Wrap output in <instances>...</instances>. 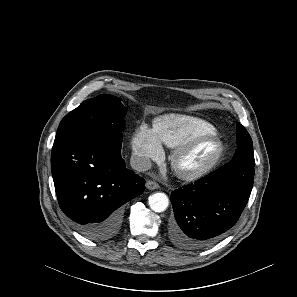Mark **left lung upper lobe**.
<instances>
[{"label":"left lung upper lobe","instance_id":"left-lung-upper-lobe-1","mask_svg":"<svg viewBox=\"0 0 297 297\" xmlns=\"http://www.w3.org/2000/svg\"><path fill=\"white\" fill-rule=\"evenodd\" d=\"M237 149L232 158L233 159H254L253 144L247 130L237 123Z\"/></svg>","mask_w":297,"mask_h":297}]
</instances>
